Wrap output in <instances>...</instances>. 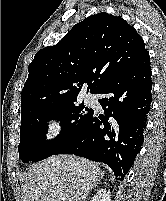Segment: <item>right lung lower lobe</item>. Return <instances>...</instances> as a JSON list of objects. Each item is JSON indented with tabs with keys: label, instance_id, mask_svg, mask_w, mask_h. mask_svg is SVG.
Instances as JSON below:
<instances>
[{
	"label": "right lung lower lobe",
	"instance_id": "right-lung-lower-lobe-1",
	"mask_svg": "<svg viewBox=\"0 0 166 201\" xmlns=\"http://www.w3.org/2000/svg\"><path fill=\"white\" fill-rule=\"evenodd\" d=\"M151 66L146 53L141 60L99 90L105 116L95 113L54 155L74 154L103 162L123 180L143 144V130L151 106Z\"/></svg>",
	"mask_w": 166,
	"mask_h": 201
}]
</instances>
